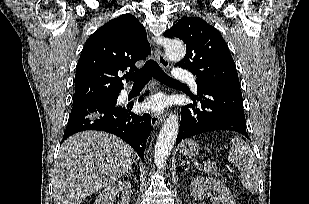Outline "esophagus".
Wrapping results in <instances>:
<instances>
[{
  "label": "esophagus",
  "instance_id": "obj_1",
  "mask_svg": "<svg viewBox=\"0 0 309 204\" xmlns=\"http://www.w3.org/2000/svg\"><path fill=\"white\" fill-rule=\"evenodd\" d=\"M161 40H162L161 37L154 38V42L156 44L154 53H155V57H156L158 63L160 64V66L163 67L164 69H167V68H169V61L160 49L159 45L161 44ZM162 118H163L162 115H159L157 113H152L151 114V124H152V126L157 127L160 124V122L162 121Z\"/></svg>",
  "mask_w": 309,
  "mask_h": 204
}]
</instances>
